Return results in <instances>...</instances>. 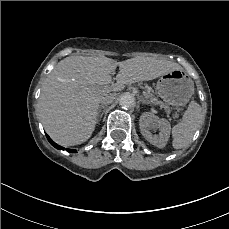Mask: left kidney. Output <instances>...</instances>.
<instances>
[{"instance_id":"5707ae66","label":"left kidney","mask_w":229,"mask_h":229,"mask_svg":"<svg viewBox=\"0 0 229 229\" xmlns=\"http://www.w3.org/2000/svg\"><path fill=\"white\" fill-rule=\"evenodd\" d=\"M153 122L158 124L159 135H153L148 130V128L153 127ZM139 124L143 136L149 143L158 148H163L166 145L170 133V125L166 120L159 119L154 114L146 112L141 115Z\"/></svg>"}]
</instances>
